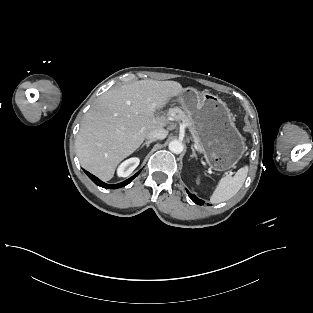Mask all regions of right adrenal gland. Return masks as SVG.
I'll use <instances>...</instances> for the list:
<instances>
[{
    "mask_svg": "<svg viewBox=\"0 0 313 313\" xmlns=\"http://www.w3.org/2000/svg\"><path fill=\"white\" fill-rule=\"evenodd\" d=\"M152 142H154V141H153V140L145 141V142L140 146V148H143L144 146H146V148H148L149 145H150Z\"/></svg>",
    "mask_w": 313,
    "mask_h": 313,
    "instance_id": "2a0ac1e0",
    "label": "right adrenal gland"
}]
</instances>
